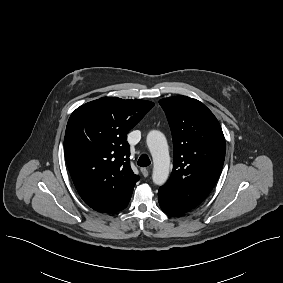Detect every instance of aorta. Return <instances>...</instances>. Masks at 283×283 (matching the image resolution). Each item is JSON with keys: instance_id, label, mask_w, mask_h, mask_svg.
<instances>
[{"instance_id": "762f6f07", "label": "aorta", "mask_w": 283, "mask_h": 283, "mask_svg": "<svg viewBox=\"0 0 283 283\" xmlns=\"http://www.w3.org/2000/svg\"><path fill=\"white\" fill-rule=\"evenodd\" d=\"M147 145L153 158L152 179L156 185H163L169 176L170 156L165 135L152 130L147 135Z\"/></svg>"}]
</instances>
